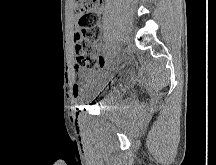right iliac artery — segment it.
<instances>
[{
	"instance_id": "obj_1",
	"label": "right iliac artery",
	"mask_w": 216,
	"mask_h": 165,
	"mask_svg": "<svg viewBox=\"0 0 216 165\" xmlns=\"http://www.w3.org/2000/svg\"><path fill=\"white\" fill-rule=\"evenodd\" d=\"M111 49L113 50L115 48V46L117 45V40H111Z\"/></svg>"
}]
</instances>
